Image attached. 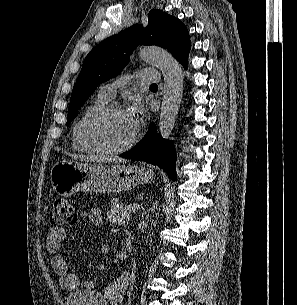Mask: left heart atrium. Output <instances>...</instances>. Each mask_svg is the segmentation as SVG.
<instances>
[{"mask_svg": "<svg viewBox=\"0 0 297 305\" xmlns=\"http://www.w3.org/2000/svg\"><path fill=\"white\" fill-rule=\"evenodd\" d=\"M128 118L135 128L137 130L143 120V113H142V108L139 103H135L127 112Z\"/></svg>", "mask_w": 297, "mask_h": 305, "instance_id": "left-heart-atrium-1", "label": "left heart atrium"}]
</instances>
